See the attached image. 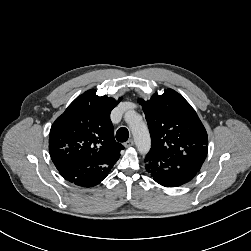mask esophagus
Here are the masks:
<instances>
[{
    "label": "esophagus",
    "mask_w": 251,
    "mask_h": 251,
    "mask_svg": "<svg viewBox=\"0 0 251 251\" xmlns=\"http://www.w3.org/2000/svg\"><path fill=\"white\" fill-rule=\"evenodd\" d=\"M133 145H134V140H133V139H130V140H128V141L125 143V147H126V148L132 147Z\"/></svg>",
    "instance_id": "obj_1"
}]
</instances>
